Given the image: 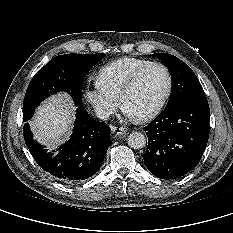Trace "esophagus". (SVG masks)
Segmentation results:
<instances>
[{"instance_id":"obj_1","label":"esophagus","mask_w":233,"mask_h":233,"mask_svg":"<svg viewBox=\"0 0 233 233\" xmlns=\"http://www.w3.org/2000/svg\"><path fill=\"white\" fill-rule=\"evenodd\" d=\"M111 131L112 134H114L115 136H123L126 134V129L123 127H116V126H111Z\"/></svg>"}]
</instances>
